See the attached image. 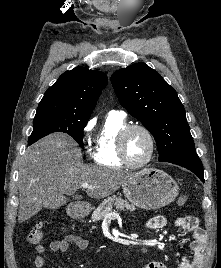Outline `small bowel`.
Returning <instances> with one entry per match:
<instances>
[{"label": "small bowel", "instance_id": "obj_1", "mask_svg": "<svg viewBox=\"0 0 221 268\" xmlns=\"http://www.w3.org/2000/svg\"><path fill=\"white\" fill-rule=\"evenodd\" d=\"M167 225V219L164 216H155L145 224L148 230H159ZM175 225L184 233L190 234L187 253L184 255L180 268H200L204 256V245L206 242V233L199 227L197 218L193 216H181L176 219ZM73 244L80 250L88 247V241L81 236L69 234L60 240H54L49 244L50 250L54 252H65ZM36 256L34 265L36 268L45 266L44 258L45 247L41 244L35 246ZM143 268H167L162 262H150Z\"/></svg>", "mask_w": 221, "mask_h": 268}]
</instances>
